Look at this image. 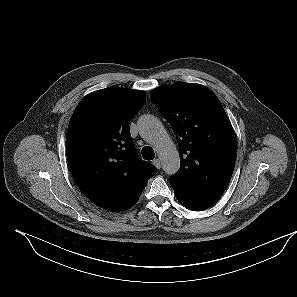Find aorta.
Listing matches in <instances>:
<instances>
[{
    "label": "aorta",
    "mask_w": 297,
    "mask_h": 297,
    "mask_svg": "<svg viewBox=\"0 0 297 297\" xmlns=\"http://www.w3.org/2000/svg\"><path fill=\"white\" fill-rule=\"evenodd\" d=\"M139 134L151 144L159 155L164 172L175 174L180 167V157L176 145L162 123L152 115H143L138 120Z\"/></svg>",
    "instance_id": "obj_1"
}]
</instances>
